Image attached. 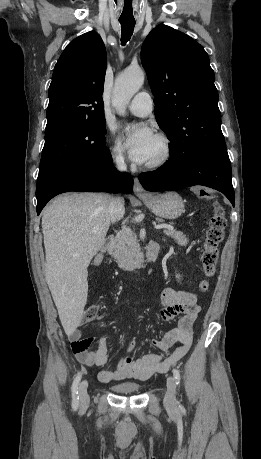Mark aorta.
<instances>
[{
  "label": "aorta",
  "instance_id": "aorta-1",
  "mask_svg": "<svg viewBox=\"0 0 261 459\" xmlns=\"http://www.w3.org/2000/svg\"><path fill=\"white\" fill-rule=\"evenodd\" d=\"M144 72L140 68H129L115 80L112 104L117 112L124 115L126 105L144 83Z\"/></svg>",
  "mask_w": 261,
  "mask_h": 459
}]
</instances>
